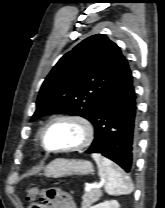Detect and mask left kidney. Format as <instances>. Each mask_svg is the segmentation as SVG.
Listing matches in <instances>:
<instances>
[{"label": "left kidney", "mask_w": 165, "mask_h": 208, "mask_svg": "<svg viewBox=\"0 0 165 208\" xmlns=\"http://www.w3.org/2000/svg\"><path fill=\"white\" fill-rule=\"evenodd\" d=\"M90 208H120V206H119L118 201L111 200V201H105V202L99 203Z\"/></svg>", "instance_id": "obj_1"}]
</instances>
